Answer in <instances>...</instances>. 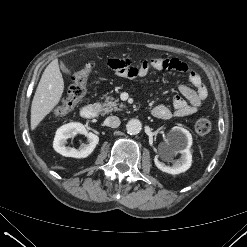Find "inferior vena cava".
I'll use <instances>...</instances> for the list:
<instances>
[{
	"instance_id": "602c4592",
	"label": "inferior vena cava",
	"mask_w": 247,
	"mask_h": 247,
	"mask_svg": "<svg viewBox=\"0 0 247 247\" xmlns=\"http://www.w3.org/2000/svg\"><path fill=\"white\" fill-rule=\"evenodd\" d=\"M120 123V119L117 116H109L106 118V124L112 128H117Z\"/></svg>"
}]
</instances>
